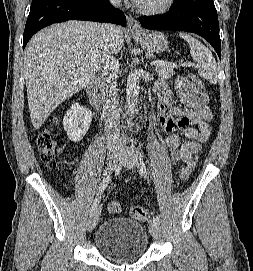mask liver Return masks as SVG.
<instances>
[{"label": "liver", "instance_id": "liver-1", "mask_svg": "<svg viewBox=\"0 0 253 271\" xmlns=\"http://www.w3.org/2000/svg\"><path fill=\"white\" fill-rule=\"evenodd\" d=\"M112 53L124 44L121 27L114 26ZM105 44L100 24L67 21L36 33L24 51V76L32 125L39 129L67 98L95 78Z\"/></svg>", "mask_w": 253, "mask_h": 271}]
</instances>
